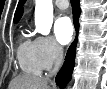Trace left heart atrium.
<instances>
[{
	"instance_id": "39dd6f15",
	"label": "left heart atrium",
	"mask_w": 107,
	"mask_h": 89,
	"mask_svg": "<svg viewBox=\"0 0 107 89\" xmlns=\"http://www.w3.org/2000/svg\"><path fill=\"white\" fill-rule=\"evenodd\" d=\"M54 33L60 44L68 43L73 36V26L70 18L67 16L59 17L54 23Z\"/></svg>"
}]
</instances>
